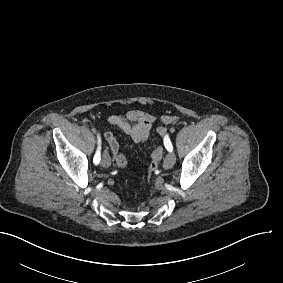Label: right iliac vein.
<instances>
[{
	"label": "right iliac vein",
	"instance_id": "obj_1",
	"mask_svg": "<svg viewBox=\"0 0 283 283\" xmlns=\"http://www.w3.org/2000/svg\"><path fill=\"white\" fill-rule=\"evenodd\" d=\"M101 165L104 168H108L111 165V159H110L109 155L106 152L103 153Z\"/></svg>",
	"mask_w": 283,
	"mask_h": 283
}]
</instances>
